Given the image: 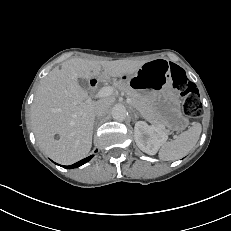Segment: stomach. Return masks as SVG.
Here are the masks:
<instances>
[{
	"label": "stomach",
	"mask_w": 231,
	"mask_h": 231,
	"mask_svg": "<svg viewBox=\"0 0 231 231\" xmlns=\"http://www.w3.org/2000/svg\"><path fill=\"white\" fill-rule=\"evenodd\" d=\"M134 90L146 97L162 126L184 130L188 118L181 111V100L173 89L170 66L164 59L145 62L131 77Z\"/></svg>",
	"instance_id": "stomach-1"
}]
</instances>
